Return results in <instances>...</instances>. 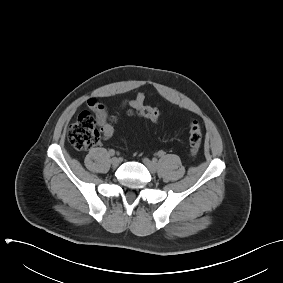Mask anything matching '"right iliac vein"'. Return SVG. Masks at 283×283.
Segmentation results:
<instances>
[{
    "instance_id": "1",
    "label": "right iliac vein",
    "mask_w": 283,
    "mask_h": 283,
    "mask_svg": "<svg viewBox=\"0 0 283 283\" xmlns=\"http://www.w3.org/2000/svg\"><path fill=\"white\" fill-rule=\"evenodd\" d=\"M111 164L114 168L118 167L120 164V159L117 157H114L111 159Z\"/></svg>"
}]
</instances>
